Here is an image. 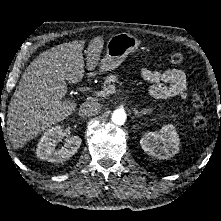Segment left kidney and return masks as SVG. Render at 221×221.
<instances>
[{
	"mask_svg": "<svg viewBox=\"0 0 221 221\" xmlns=\"http://www.w3.org/2000/svg\"><path fill=\"white\" fill-rule=\"evenodd\" d=\"M142 149L150 156L168 159L179 151V137L175 126L164 125L160 131L148 132L140 140Z\"/></svg>",
	"mask_w": 221,
	"mask_h": 221,
	"instance_id": "obj_1",
	"label": "left kidney"
}]
</instances>
